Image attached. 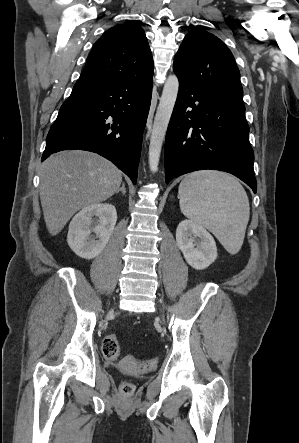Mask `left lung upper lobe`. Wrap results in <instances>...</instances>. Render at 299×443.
Here are the masks:
<instances>
[{"label": "left lung upper lobe", "instance_id": "5c2ea615", "mask_svg": "<svg viewBox=\"0 0 299 443\" xmlns=\"http://www.w3.org/2000/svg\"><path fill=\"white\" fill-rule=\"evenodd\" d=\"M177 76L236 103L243 104L239 69L228 47L215 35L193 28L175 55Z\"/></svg>", "mask_w": 299, "mask_h": 443}]
</instances>
